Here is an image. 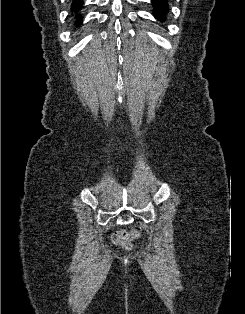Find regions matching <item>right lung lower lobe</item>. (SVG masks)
Wrapping results in <instances>:
<instances>
[{
    "instance_id": "obj_1",
    "label": "right lung lower lobe",
    "mask_w": 245,
    "mask_h": 314,
    "mask_svg": "<svg viewBox=\"0 0 245 314\" xmlns=\"http://www.w3.org/2000/svg\"><path fill=\"white\" fill-rule=\"evenodd\" d=\"M83 6V0H73L72 6H71V11L72 15L75 17V25H80L83 21V17L79 13Z\"/></svg>"
}]
</instances>
